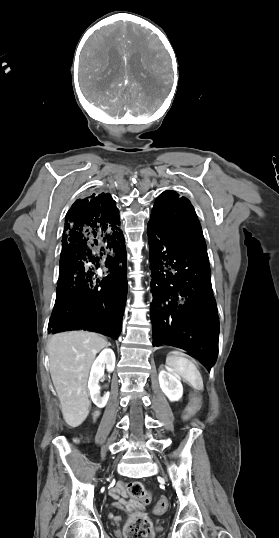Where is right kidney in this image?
Segmentation results:
<instances>
[{
  "instance_id": "1",
  "label": "right kidney",
  "mask_w": 279,
  "mask_h": 538,
  "mask_svg": "<svg viewBox=\"0 0 279 538\" xmlns=\"http://www.w3.org/2000/svg\"><path fill=\"white\" fill-rule=\"evenodd\" d=\"M115 360L116 358L113 350L106 348V350H102L91 368L88 388L90 390L91 400L94 402L95 406H98V408H104L109 398V394H105L103 398H100V386H98V384L99 380L103 378V364H105L107 372H113L115 368Z\"/></svg>"
}]
</instances>
